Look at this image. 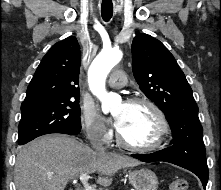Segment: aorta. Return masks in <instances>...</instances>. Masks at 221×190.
<instances>
[{"mask_svg": "<svg viewBox=\"0 0 221 190\" xmlns=\"http://www.w3.org/2000/svg\"><path fill=\"white\" fill-rule=\"evenodd\" d=\"M122 52L118 49L102 50L93 60L88 71V82L91 92L102 103L103 113H108L111 107L119 102V98L107 93L105 82L111 69L122 59Z\"/></svg>", "mask_w": 221, "mask_h": 190, "instance_id": "762f6f07", "label": "aorta"}]
</instances>
